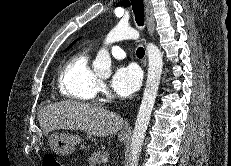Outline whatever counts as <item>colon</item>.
<instances>
[{"label":"colon","instance_id":"1","mask_svg":"<svg viewBox=\"0 0 231 166\" xmlns=\"http://www.w3.org/2000/svg\"><path fill=\"white\" fill-rule=\"evenodd\" d=\"M44 166H64L62 162H60L54 155L48 154L43 158Z\"/></svg>","mask_w":231,"mask_h":166}]
</instances>
